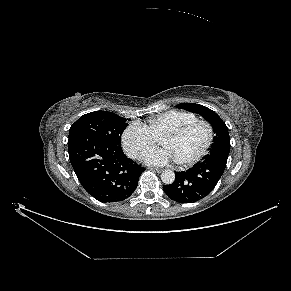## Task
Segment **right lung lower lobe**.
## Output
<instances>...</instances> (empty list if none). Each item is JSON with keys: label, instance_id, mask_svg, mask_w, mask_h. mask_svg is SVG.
<instances>
[{"label": "right lung lower lobe", "instance_id": "right-lung-lower-lobe-1", "mask_svg": "<svg viewBox=\"0 0 291 291\" xmlns=\"http://www.w3.org/2000/svg\"><path fill=\"white\" fill-rule=\"evenodd\" d=\"M68 152L81 185L101 202L127 199L145 170L127 158L122 148L84 132L69 137Z\"/></svg>", "mask_w": 291, "mask_h": 291}]
</instances>
